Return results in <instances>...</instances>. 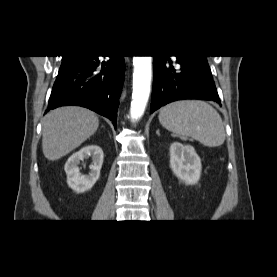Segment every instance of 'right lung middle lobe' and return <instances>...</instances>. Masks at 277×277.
Listing matches in <instances>:
<instances>
[{"instance_id": "1", "label": "right lung middle lobe", "mask_w": 277, "mask_h": 277, "mask_svg": "<svg viewBox=\"0 0 277 277\" xmlns=\"http://www.w3.org/2000/svg\"><path fill=\"white\" fill-rule=\"evenodd\" d=\"M80 56H63L62 64L59 69V72L66 69L69 65H71L74 61H76Z\"/></svg>"}]
</instances>
